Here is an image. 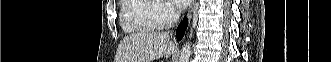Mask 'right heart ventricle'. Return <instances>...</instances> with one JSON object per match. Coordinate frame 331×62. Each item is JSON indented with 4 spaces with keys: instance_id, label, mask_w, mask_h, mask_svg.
Returning <instances> with one entry per match:
<instances>
[{
    "instance_id": "e07e8e85",
    "label": "right heart ventricle",
    "mask_w": 331,
    "mask_h": 62,
    "mask_svg": "<svg viewBox=\"0 0 331 62\" xmlns=\"http://www.w3.org/2000/svg\"><path fill=\"white\" fill-rule=\"evenodd\" d=\"M152 5L146 0H125L121 9V23L127 31L152 32Z\"/></svg>"
}]
</instances>
